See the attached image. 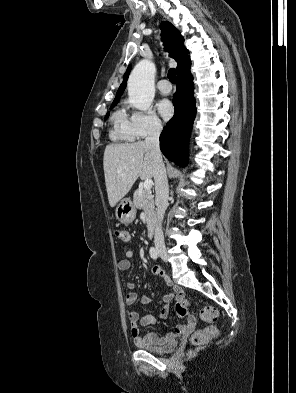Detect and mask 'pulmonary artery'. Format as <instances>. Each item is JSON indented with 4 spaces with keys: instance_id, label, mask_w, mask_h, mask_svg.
Returning <instances> with one entry per match:
<instances>
[{
    "instance_id": "obj_1",
    "label": "pulmonary artery",
    "mask_w": 296,
    "mask_h": 393,
    "mask_svg": "<svg viewBox=\"0 0 296 393\" xmlns=\"http://www.w3.org/2000/svg\"><path fill=\"white\" fill-rule=\"evenodd\" d=\"M157 88L162 94H169L172 90V86L167 79H162L158 82Z\"/></svg>"
}]
</instances>
